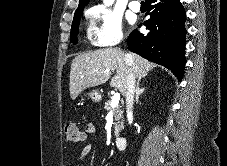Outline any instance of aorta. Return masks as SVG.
Masks as SVG:
<instances>
[{
    "instance_id": "1",
    "label": "aorta",
    "mask_w": 227,
    "mask_h": 166,
    "mask_svg": "<svg viewBox=\"0 0 227 166\" xmlns=\"http://www.w3.org/2000/svg\"><path fill=\"white\" fill-rule=\"evenodd\" d=\"M104 4L109 6L112 5V3L114 2V0H103Z\"/></svg>"
}]
</instances>
